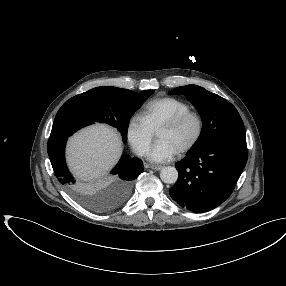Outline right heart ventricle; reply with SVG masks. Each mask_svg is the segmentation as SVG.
<instances>
[{"instance_id":"1","label":"right heart ventricle","mask_w":286,"mask_h":286,"mask_svg":"<svg viewBox=\"0 0 286 286\" xmlns=\"http://www.w3.org/2000/svg\"><path fill=\"white\" fill-rule=\"evenodd\" d=\"M187 111H190V106L185 101L174 97H162L148 102L143 116L155 132L167 120Z\"/></svg>"}]
</instances>
